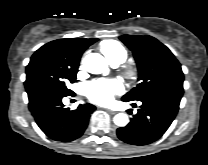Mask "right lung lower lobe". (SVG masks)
Returning a JSON list of instances; mask_svg holds the SVG:
<instances>
[{
  "mask_svg": "<svg viewBox=\"0 0 208 165\" xmlns=\"http://www.w3.org/2000/svg\"><path fill=\"white\" fill-rule=\"evenodd\" d=\"M65 96L68 95L43 94L29 101V109L40 129L50 139L70 142L84 133L95 106L80 104L76 110L71 111L62 103V98Z\"/></svg>",
  "mask_w": 208,
  "mask_h": 165,
  "instance_id": "1",
  "label": "right lung lower lobe"
}]
</instances>
